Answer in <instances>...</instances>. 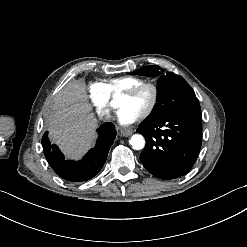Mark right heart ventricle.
I'll list each match as a JSON object with an SVG mask.
<instances>
[{
  "label": "right heart ventricle",
  "instance_id": "e07e8e85",
  "mask_svg": "<svg viewBox=\"0 0 247 247\" xmlns=\"http://www.w3.org/2000/svg\"><path fill=\"white\" fill-rule=\"evenodd\" d=\"M143 81L134 77H124L113 80L110 84V89L114 93H127L132 89L141 85Z\"/></svg>",
  "mask_w": 247,
  "mask_h": 247
}]
</instances>
